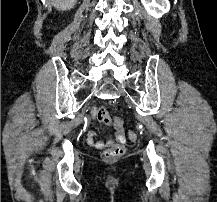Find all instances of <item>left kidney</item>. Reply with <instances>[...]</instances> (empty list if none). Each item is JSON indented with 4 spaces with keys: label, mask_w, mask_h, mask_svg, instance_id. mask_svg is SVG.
<instances>
[{
    "label": "left kidney",
    "mask_w": 217,
    "mask_h": 202,
    "mask_svg": "<svg viewBox=\"0 0 217 202\" xmlns=\"http://www.w3.org/2000/svg\"><path fill=\"white\" fill-rule=\"evenodd\" d=\"M147 14L153 18H161L163 14H167L170 10L168 0H141Z\"/></svg>",
    "instance_id": "left-kidney-1"
}]
</instances>
